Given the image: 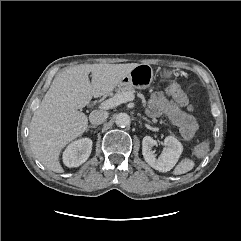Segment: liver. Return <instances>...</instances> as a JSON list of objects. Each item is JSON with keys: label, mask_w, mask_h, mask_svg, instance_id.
I'll list each match as a JSON object with an SVG mask.
<instances>
[{"label": "liver", "mask_w": 241, "mask_h": 241, "mask_svg": "<svg viewBox=\"0 0 241 241\" xmlns=\"http://www.w3.org/2000/svg\"><path fill=\"white\" fill-rule=\"evenodd\" d=\"M137 63L81 64L59 73L34 112L29 141L35 157L49 170L63 173L62 149L88 127L78 111L92 99L111 92ZM91 73V82L89 74Z\"/></svg>", "instance_id": "liver-1"}]
</instances>
